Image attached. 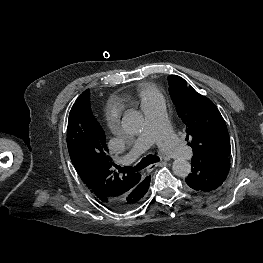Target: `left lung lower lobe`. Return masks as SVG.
<instances>
[{
    "mask_svg": "<svg viewBox=\"0 0 263 263\" xmlns=\"http://www.w3.org/2000/svg\"><path fill=\"white\" fill-rule=\"evenodd\" d=\"M191 165V173L185 180L188 186L198 192H211L226 180L230 157L218 156L207 160L192 158Z\"/></svg>",
    "mask_w": 263,
    "mask_h": 263,
    "instance_id": "left-lung-lower-lobe-1",
    "label": "left lung lower lobe"
}]
</instances>
